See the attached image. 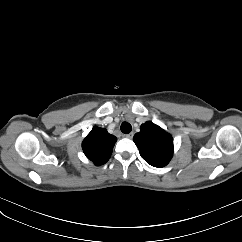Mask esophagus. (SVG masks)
<instances>
[{
    "label": "esophagus",
    "mask_w": 242,
    "mask_h": 242,
    "mask_svg": "<svg viewBox=\"0 0 242 242\" xmlns=\"http://www.w3.org/2000/svg\"><path fill=\"white\" fill-rule=\"evenodd\" d=\"M126 138H129V139H131V138H133V136H134V133L133 132H131V133H129V134H126V135H124Z\"/></svg>",
    "instance_id": "obj_1"
}]
</instances>
